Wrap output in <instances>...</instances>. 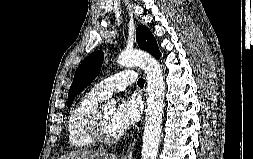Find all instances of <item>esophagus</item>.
I'll return each instance as SVG.
<instances>
[{"label": "esophagus", "mask_w": 253, "mask_h": 159, "mask_svg": "<svg viewBox=\"0 0 253 159\" xmlns=\"http://www.w3.org/2000/svg\"><path fill=\"white\" fill-rule=\"evenodd\" d=\"M137 139H138V134L129 142V145L125 153L122 155L121 159H132L134 148L137 143Z\"/></svg>", "instance_id": "34e87169"}]
</instances>
